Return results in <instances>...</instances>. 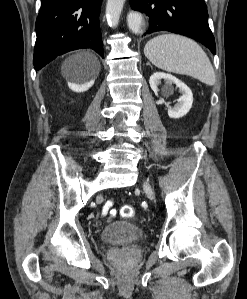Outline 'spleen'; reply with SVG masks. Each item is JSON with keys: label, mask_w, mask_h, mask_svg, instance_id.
Here are the masks:
<instances>
[{"label": "spleen", "mask_w": 247, "mask_h": 299, "mask_svg": "<svg viewBox=\"0 0 247 299\" xmlns=\"http://www.w3.org/2000/svg\"><path fill=\"white\" fill-rule=\"evenodd\" d=\"M147 59L159 69L189 75L207 84H215L212 64L201 46L184 36L163 34L144 47Z\"/></svg>", "instance_id": "1"}]
</instances>
